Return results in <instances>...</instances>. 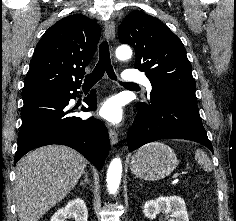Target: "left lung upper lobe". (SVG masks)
I'll return each instance as SVG.
<instances>
[{
  "instance_id": "left-lung-upper-lobe-1",
  "label": "left lung upper lobe",
  "mask_w": 236,
  "mask_h": 221,
  "mask_svg": "<svg viewBox=\"0 0 236 221\" xmlns=\"http://www.w3.org/2000/svg\"><path fill=\"white\" fill-rule=\"evenodd\" d=\"M118 35L121 43L136 50L135 68L145 72L152 91L170 89L195 93L196 84L185 47L159 19L131 12L119 26Z\"/></svg>"
}]
</instances>
